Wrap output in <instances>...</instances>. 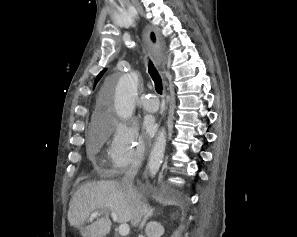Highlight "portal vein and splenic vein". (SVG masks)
I'll return each instance as SVG.
<instances>
[{
	"label": "portal vein and splenic vein",
	"mask_w": 297,
	"mask_h": 237,
	"mask_svg": "<svg viewBox=\"0 0 297 237\" xmlns=\"http://www.w3.org/2000/svg\"><path fill=\"white\" fill-rule=\"evenodd\" d=\"M98 215H99V211H95V212L92 213L91 216L92 217H97ZM111 216H112V218H113V220L115 222L118 221V216H117V214L115 212H111ZM129 232H130V228H129V225L128 224L123 223V224H121L119 226V234L121 236H127L129 234Z\"/></svg>",
	"instance_id": "portal-vein-and-splenic-vein-1"
}]
</instances>
